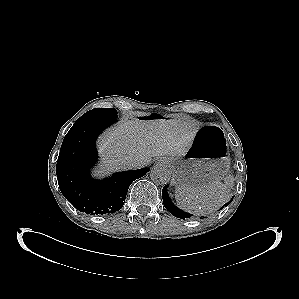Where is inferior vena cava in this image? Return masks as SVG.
I'll list each match as a JSON object with an SVG mask.
<instances>
[{
  "label": "inferior vena cava",
  "instance_id": "inferior-vena-cava-1",
  "mask_svg": "<svg viewBox=\"0 0 299 299\" xmlns=\"http://www.w3.org/2000/svg\"><path fill=\"white\" fill-rule=\"evenodd\" d=\"M148 161L146 160H133L128 164L130 169H138L142 168L143 166L147 165Z\"/></svg>",
  "mask_w": 299,
  "mask_h": 299
}]
</instances>
